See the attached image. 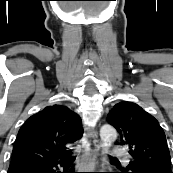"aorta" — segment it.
<instances>
[{
	"instance_id": "aorta-1",
	"label": "aorta",
	"mask_w": 173,
	"mask_h": 173,
	"mask_svg": "<svg viewBox=\"0 0 173 173\" xmlns=\"http://www.w3.org/2000/svg\"><path fill=\"white\" fill-rule=\"evenodd\" d=\"M100 138H101L102 154L106 155L108 153L111 144L117 138V132L115 128H113L112 126L103 125L100 129Z\"/></svg>"
}]
</instances>
